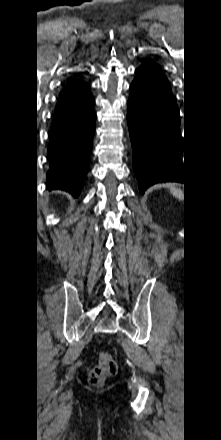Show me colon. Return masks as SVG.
I'll return each instance as SVG.
<instances>
[{
    "mask_svg": "<svg viewBox=\"0 0 221 440\" xmlns=\"http://www.w3.org/2000/svg\"><path fill=\"white\" fill-rule=\"evenodd\" d=\"M117 372V364L114 359L106 352L98 354V365L95 366L89 374V382L91 385L102 386L105 380L115 375Z\"/></svg>",
    "mask_w": 221,
    "mask_h": 440,
    "instance_id": "colon-1",
    "label": "colon"
}]
</instances>
